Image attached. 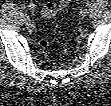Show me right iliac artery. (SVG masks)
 Wrapping results in <instances>:
<instances>
[{
	"label": "right iliac artery",
	"mask_w": 111,
	"mask_h": 106,
	"mask_svg": "<svg viewBox=\"0 0 111 106\" xmlns=\"http://www.w3.org/2000/svg\"><path fill=\"white\" fill-rule=\"evenodd\" d=\"M23 17H24V19H30V15L28 12H24Z\"/></svg>",
	"instance_id": "obj_1"
}]
</instances>
